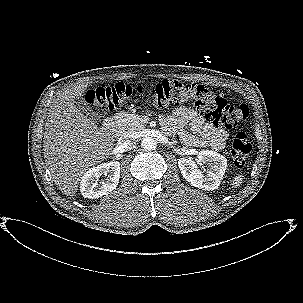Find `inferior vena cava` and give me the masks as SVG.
Segmentation results:
<instances>
[{"instance_id": "602c4592", "label": "inferior vena cava", "mask_w": 303, "mask_h": 303, "mask_svg": "<svg viewBox=\"0 0 303 303\" xmlns=\"http://www.w3.org/2000/svg\"><path fill=\"white\" fill-rule=\"evenodd\" d=\"M120 141L127 150L132 149L133 141H132L131 137H129L128 135H122V136H120Z\"/></svg>"}]
</instances>
